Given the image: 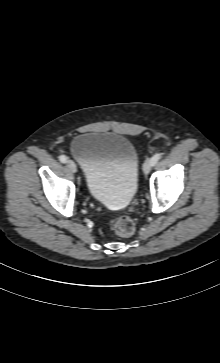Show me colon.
<instances>
[{
    "instance_id": "obj_1",
    "label": "colon",
    "mask_w": 220,
    "mask_h": 363,
    "mask_svg": "<svg viewBox=\"0 0 220 363\" xmlns=\"http://www.w3.org/2000/svg\"><path fill=\"white\" fill-rule=\"evenodd\" d=\"M111 226L115 230V232L122 236L128 237L131 236L135 232V223L128 216H117L111 221Z\"/></svg>"
}]
</instances>
